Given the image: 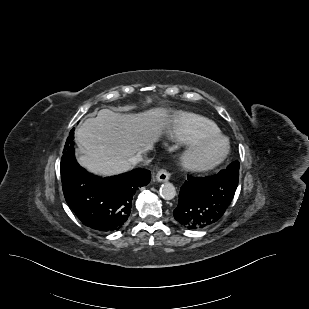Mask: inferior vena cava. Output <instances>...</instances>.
<instances>
[{"label":"inferior vena cava","mask_w":309,"mask_h":309,"mask_svg":"<svg viewBox=\"0 0 309 309\" xmlns=\"http://www.w3.org/2000/svg\"><path fill=\"white\" fill-rule=\"evenodd\" d=\"M141 161H143L142 153L136 154L135 156H132L128 159L129 164L134 165V166L139 164ZM149 161L150 160H148L147 163Z\"/></svg>","instance_id":"obj_1"}]
</instances>
